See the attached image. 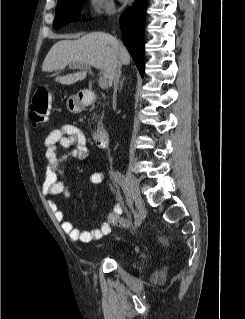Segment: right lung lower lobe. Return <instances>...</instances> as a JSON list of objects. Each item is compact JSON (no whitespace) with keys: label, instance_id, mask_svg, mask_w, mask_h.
<instances>
[{"label":"right lung lower lobe","instance_id":"right-lung-lower-lobe-1","mask_svg":"<svg viewBox=\"0 0 245 319\" xmlns=\"http://www.w3.org/2000/svg\"><path fill=\"white\" fill-rule=\"evenodd\" d=\"M147 0H135L122 14L120 25L122 38L141 76L144 75V24Z\"/></svg>","mask_w":245,"mask_h":319}]
</instances>
